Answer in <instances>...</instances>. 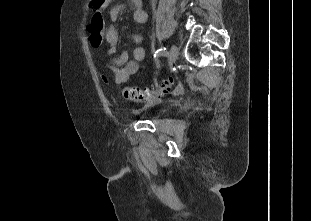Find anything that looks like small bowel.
Masks as SVG:
<instances>
[{
    "mask_svg": "<svg viewBox=\"0 0 311 221\" xmlns=\"http://www.w3.org/2000/svg\"><path fill=\"white\" fill-rule=\"evenodd\" d=\"M131 6L133 7V19L136 23L144 24L147 22L148 16L142 9L141 0H131ZM124 6L119 4L113 6L109 11V16L112 24L109 26L105 33L106 42L109 45L108 55L113 54L116 51L119 41V33L114 25L121 15ZM100 8H98V11ZM133 40L136 43V47L133 49V59H129L128 52L124 51L119 56L113 58L111 62V70L114 75V82L116 84H122L128 80V78L135 74L140 67V62L145 59L146 50L143 46L144 37L140 34L133 36ZM104 81L108 82V79L104 76Z\"/></svg>",
    "mask_w": 311,
    "mask_h": 221,
    "instance_id": "c3829d8e",
    "label": "small bowel"
}]
</instances>
